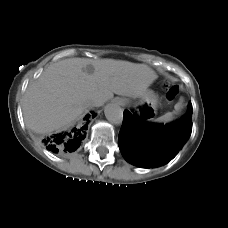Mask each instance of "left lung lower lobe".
I'll return each mask as SVG.
<instances>
[{
	"label": "left lung lower lobe",
	"mask_w": 228,
	"mask_h": 228,
	"mask_svg": "<svg viewBox=\"0 0 228 228\" xmlns=\"http://www.w3.org/2000/svg\"><path fill=\"white\" fill-rule=\"evenodd\" d=\"M191 131V104L183 117L166 125L150 123L125 110L118 145L123 157L131 164L143 168L157 167L177 155Z\"/></svg>",
	"instance_id": "1"
}]
</instances>
